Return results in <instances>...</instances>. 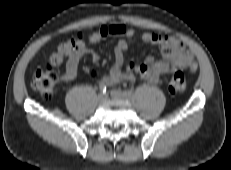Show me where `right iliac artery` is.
Segmentation results:
<instances>
[{"label":"right iliac artery","mask_w":231,"mask_h":170,"mask_svg":"<svg viewBox=\"0 0 231 170\" xmlns=\"http://www.w3.org/2000/svg\"><path fill=\"white\" fill-rule=\"evenodd\" d=\"M100 91L105 94L107 92V87L104 84H99Z\"/></svg>","instance_id":"obj_1"}]
</instances>
